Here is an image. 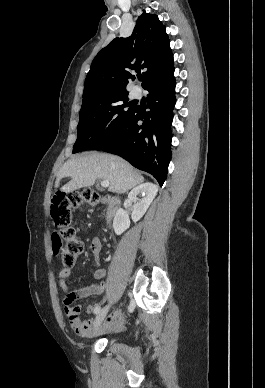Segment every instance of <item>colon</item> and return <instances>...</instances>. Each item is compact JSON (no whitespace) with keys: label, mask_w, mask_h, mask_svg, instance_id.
I'll list each match as a JSON object with an SVG mask.
<instances>
[{"label":"colon","mask_w":265,"mask_h":388,"mask_svg":"<svg viewBox=\"0 0 265 388\" xmlns=\"http://www.w3.org/2000/svg\"><path fill=\"white\" fill-rule=\"evenodd\" d=\"M98 199L99 195L90 189L81 192L58 191L52 199L51 218L56 227L52 235L53 251L66 267L73 266L83 250V244L76 238L71 226L72 209L83 201L94 204Z\"/></svg>","instance_id":"obj_1"}]
</instances>
